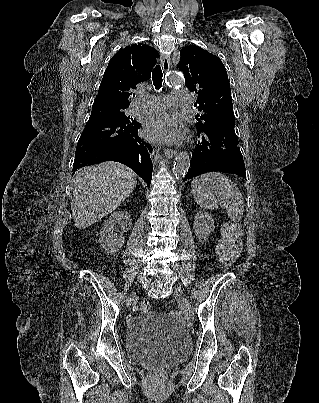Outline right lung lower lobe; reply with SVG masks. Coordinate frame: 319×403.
Here are the masks:
<instances>
[{
  "label": "right lung lower lobe",
  "mask_w": 319,
  "mask_h": 403,
  "mask_svg": "<svg viewBox=\"0 0 319 403\" xmlns=\"http://www.w3.org/2000/svg\"><path fill=\"white\" fill-rule=\"evenodd\" d=\"M140 127V123L130 120H88L77 144L73 171L104 161H117L134 170L149 186L152 147L141 139Z\"/></svg>",
  "instance_id": "98d812e1"
}]
</instances>
